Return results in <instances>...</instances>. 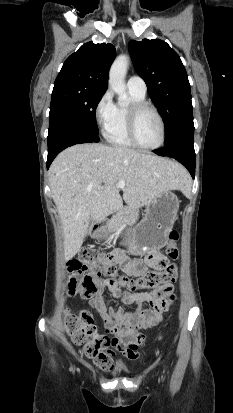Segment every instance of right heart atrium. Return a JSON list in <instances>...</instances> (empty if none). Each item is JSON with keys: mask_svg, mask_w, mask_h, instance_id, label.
<instances>
[{"mask_svg": "<svg viewBox=\"0 0 233 413\" xmlns=\"http://www.w3.org/2000/svg\"><path fill=\"white\" fill-rule=\"evenodd\" d=\"M115 110L112 93L104 92L94 106V118L100 129L105 132L110 125Z\"/></svg>", "mask_w": 233, "mask_h": 413, "instance_id": "right-heart-atrium-1", "label": "right heart atrium"}]
</instances>
